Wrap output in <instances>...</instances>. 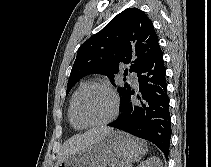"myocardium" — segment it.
<instances>
[{"mask_svg": "<svg viewBox=\"0 0 211 167\" xmlns=\"http://www.w3.org/2000/svg\"><path fill=\"white\" fill-rule=\"evenodd\" d=\"M101 88L106 90L110 96L112 97L113 100V111L112 114L105 120L103 121H99V122H84L82 120H80L77 116L76 113V106H77V102L79 97L88 89L90 88ZM119 112V98L118 95L116 94V92L114 91V89L108 85L107 83L104 82H99V81H92V82H88L86 83L84 86H82L78 92L75 94L73 101H72V105H71V117L73 119V121L81 126V127H100V126H105L109 123H111L112 121H114L118 115Z\"/></svg>", "mask_w": 211, "mask_h": 167, "instance_id": "obj_1", "label": "myocardium"}]
</instances>
